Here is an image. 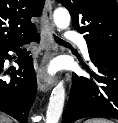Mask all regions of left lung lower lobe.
<instances>
[{"label": "left lung lower lobe", "instance_id": "left-lung-lower-lobe-1", "mask_svg": "<svg viewBox=\"0 0 118 123\" xmlns=\"http://www.w3.org/2000/svg\"><path fill=\"white\" fill-rule=\"evenodd\" d=\"M88 52L96 72L83 66L91 79L72 75L73 86L62 123L92 116L118 119V56L91 49Z\"/></svg>", "mask_w": 118, "mask_h": 123}]
</instances>
